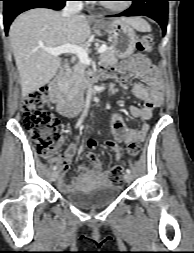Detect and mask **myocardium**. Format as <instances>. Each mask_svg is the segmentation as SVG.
<instances>
[{
    "label": "myocardium",
    "mask_w": 194,
    "mask_h": 253,
    "mask_svg": "<svg viewBox=\"0 0 194 253\" xmlns=\"http://www.w3.org/2000/svg\"><path fill=\"white\" fill-rule=\"evenodd\" d=\"M103 6L109 11L116 12V13H122L130 8L131 2H130V0H126V1H123L122 4H120V5H113V4H109V3H104Z\"/></svg>",
    "instance_id": "obj_1"
}]
</instances>
